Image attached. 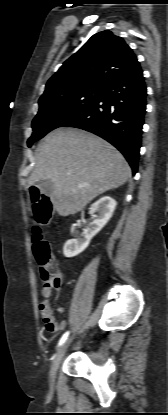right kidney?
Wrapping results in <instances>:
<instances>
[{"label": "right kidney", "instance_id": "obj_1", "mask_svg": "<svg viewBox=\"0 0 168 415\" xmlns=\"http://www.w3.org/2000/svg\"><path fill=\"white\" fill-rule=\"evenodd\" d=\"M116 201L108 196L100 198L90 207L89 214L93 221L83 231L80 238L68 240L63 247L65 257H74L83 252L91 239L107 224L116 208ZM98 213V215H95Z\"/></svg>", "mask_w": 168, "mask_h": 415}]
</instances>
